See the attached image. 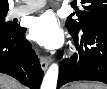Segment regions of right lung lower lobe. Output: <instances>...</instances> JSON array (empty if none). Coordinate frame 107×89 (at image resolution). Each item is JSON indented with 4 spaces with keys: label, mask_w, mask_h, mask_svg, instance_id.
<instances>
[{
    "label": "right lung lower lobe",
    "mask_w": 107,
    "mask_h": 89,
    "mask_svg": "<svg viewBox=\"0 0 107 89\" xmlns=\"http://www.w3.org/2000/svg\"><path fill=\"white\" fill-rule=\"evenodd\" d=\"M25 28L12 32L0 29V73H6L31 89H39L44 72L25 39Z\"/></svg>",
    "instance_id": "98d812e1"
}]
</instances>
